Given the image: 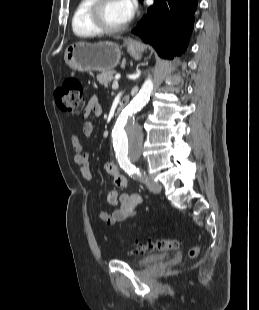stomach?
I'll return each instance as SVG.
<instances>
[{"mask_svg": "<svg viewBox=\"0 0 259 310\" xmlns=\"http://www.w3.org/2000/svg\"><path fill=\"white\" fill-rule=\"evenodd\" d=\"M127 50L134 59L141 58V49L133 43L127 45ZM120 57L119 46L109 41L95 44L77 42L69 45L64 54L66 64L80 72L111 71L118 65Z\"/></svg>", "mask_w": 259, "mask_h": 310, "instance_id": "stomach-1", "label": "stomach"}]
</instances>
